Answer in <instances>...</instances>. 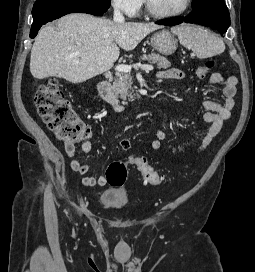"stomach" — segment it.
I'll use <instances>...</instances> for the list:
<instances>
[{"mask_svg":"<svg viewBox=\"0 0 255 272\" xmlns=\"http://www.w3.org/2000/svg\"><path fill=\"white\" fill-rule=\"evenodd\" d=\"M151 46L163 55H171L177 49V39L168 30H160L154 33L150 39Z\"/></svg>","mask_w":255,"mask_h":272,"instance_id":"obj_1","label":"stomach"}]
</instances>
